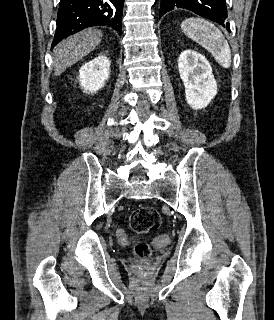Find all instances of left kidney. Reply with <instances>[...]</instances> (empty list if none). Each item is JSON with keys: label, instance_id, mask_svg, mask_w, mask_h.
Here are the masks:
<instances>
[{"label": "left kidney", "instance_id": "5707ae66", "mask_svg": "<svg viewBox=\"0 0 274 320\" xmlns=\"http://www.w3.org/2000/svg\"><path fill=\"white\" fill-rule=\"evenodd\" d=\"M178 68L187 104L193 110L206 108L217 94V84L205 56L195 50H184L178 58Z\"/></svg>", "mask_w": 274, "mask_h": 320}]
</instances>
